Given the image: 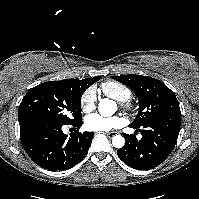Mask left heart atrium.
Segmentation results:
<instances>
[{"instance_id": "1", "label": "left heart atrium", "mask_w": 199, "mask_h": 199, "mask_svg": "<svg viewBox=\"0 0 199 199\" xmlns=\"http://www.w3.org/2000/svg\"><path fill=\"white\" fill-rule=\"evenodd\" d=\"M85 124L92 131H108L121 126L122 119L120 117H104L98 113L89 115Z\"/></svg>"}]
</instances>
